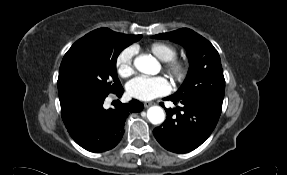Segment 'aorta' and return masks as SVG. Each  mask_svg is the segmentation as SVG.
Returning <instances> with one entry per match:
<instances>
[{"label": "aorta", "mask_w": 287, "mask_h": 175, "mask_svg": "<svg viewBox=\"0 0 287 175\" xmlns=\"http://www.w3.org/2000/svg\"><path fill=\"white\" fill-rule=\"evenodd\" d=\"M134 66L144 74H156L158 72L157 61L147 55H140L135 58ZM148 120L154 124H161L165 120L164 110L160 106H152L147 110Z\"/></svg>", "instance_id": "aorta-1"}]
</instances>
